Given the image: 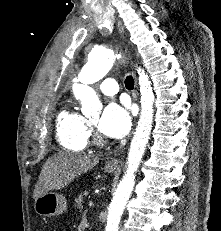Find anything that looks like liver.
<instances>
[{
	"mask_svg": "<svg viewBox=\"0 0 221 231\" xmlns=\"http://www.w3.org/2000/svg\"><path fill=\"white\" fill-rule=\"evenodd\" d=\"M99 163V157L62 151L50 157L44 164L33 191L37 199L51 190L68 186L76 177L86 173Z\"/></svg>",
	"mask_w": 221,
	"mask_h": 231,
	"instance_id": "liver-1",
	"label": "liver"
}]
</instances>
